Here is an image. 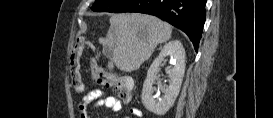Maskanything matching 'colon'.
Instances as JSON below:
<instances>
[{
  "label": "colon",
  "instance_id": "colon-1",
  "mask_svg": "<svg viewBox=\"0 0 273 118\" xmlns=\"http://www.w3.org/2000/svg\"><path fill=\"white\" fill-rule=\"evenodd\" d=\"M87 46L86 41H81L75 44L72 49L69 64L68 74L73 88L81 92L83 83L81 79L79 59ZM90 73L93 80L98 84L110 87L114 90L116 95L125 103L129 102L132 97V81L124 76L117 74L106 73L97 68L95 64H91Z\"/></svg>",
  "mask_w": 273,
  "mask_h": 118
}]
</instances>
